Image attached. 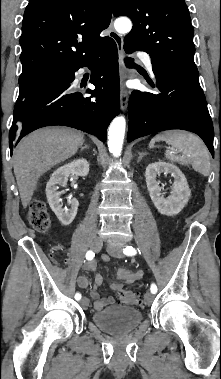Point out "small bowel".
Masks as SVG:
<instances>
[{
    "label": "small bowel",
    "instance_id": "c3829d8e",
    "mask_svg": "<svg viewBox=\"0 0 221 379\" xmlns=\"http://www.w3.org/2000/svg\"><path fill=\"white\" fill-rule=\"evenodd\" d=\"M105 261H108V259H105ZM84 269L87 271H93L96 272V263L94 261H88L84 264ZM116 276L119 280V282H114L110 285L111 289L116 291L118 294L122 291H124V288L137 280L141 279L143 276V272L141 270L132 271L128 269H119L116 273ZM90 279L87 275L83 274L79 276L78 278V285L79 287L85 289L89 286ZM103 284V277L101 274L96 273L95 276V282H94V288L90 292V296L92 299L95 300L94 308L96 310H102L104 307L112 304L114 302V298L112 296H106L102 297L98 289Z\"/></svg>",
    "mask_w": 221,
    "mask_h": 379
}]
</instances>
